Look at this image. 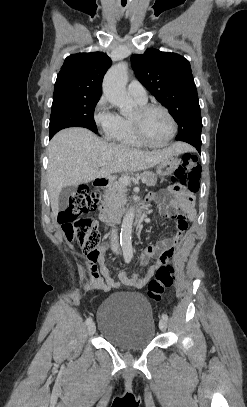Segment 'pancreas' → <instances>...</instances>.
I'll return each mask as SVG.
<instances>
[{
	"label": "pancreas",
	"mask_w": 247,
	"mask_h": 407,
	"mask_svg": "<svg viewBox=\"0 0 247 407\" xmlns=\"http://www.w3.org/2000/svg\"><path fill=\"white\" fill-rule=\"evenodd\" d=\"M141 179H145L147 186H154L157 183V176L152 172H144L139 175ZM126 184L121 181H116L112 186L106 190L104 194V201L114 206H121L126 203Z\"/></svg>",
	"instance_id": "pancreas-1"
}]
</instances>
